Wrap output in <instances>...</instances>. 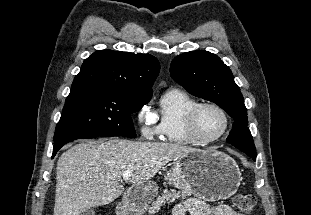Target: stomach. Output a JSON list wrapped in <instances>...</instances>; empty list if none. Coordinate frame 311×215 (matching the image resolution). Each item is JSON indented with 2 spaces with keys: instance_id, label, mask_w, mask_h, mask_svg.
Wrapping results in <instances>:
<instances>
[{
  "instance_id": "1",
  "label": "stomach",
  "mask_w": 311,
  "mask_h": 215,
  "mask_svg": "<svg viewBox=\"0 0 311 215\" xmlns=\"http://www.w3.org/2000/svg\"><path fill=\"white\" fill-rule=\"evenodd\" d=\"M165 179L189 194L213 202L236 193L241 173L229 155L215 149H194L174 162ZM157 194L158 186L153 181L130 188L117 215H142Z\"/></svg>"
}]
</instances>
